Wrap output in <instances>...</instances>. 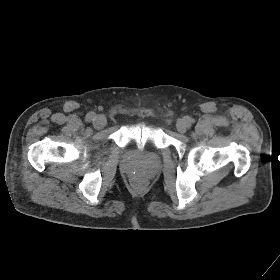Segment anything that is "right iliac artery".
Returning a JSON list of instances; mask_svg holds the SVG:
<instances>
[{
  "instance_id": "obj_1",
  "label": "right iliac artery",
  "mask_w": 280,
  "mask_h": 280,
  "mask_svg": "<svg viewBox=\"0 0 280 280\" xmlns=\"http://www.w3.org/2000/svg\"><path fill=\"white\" fill-rule=\"evenodd\" d=\"M95 118H96V115H95V113L94 112H90V113H88L87 115H86V121H93V120H95Z\"/></svg>"
}]
</instances>
